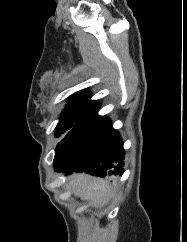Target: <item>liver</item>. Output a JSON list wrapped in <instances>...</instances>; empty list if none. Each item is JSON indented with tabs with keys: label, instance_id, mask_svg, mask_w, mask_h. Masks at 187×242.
I'll return each instance as SVG.
<instances>
[{
	"label": "liver",
	"instance_id": "1",
	"mask_svg": "<svg viewBox=\"0 0 187 242\" xmlns=\"http://www.w3.org/2000/svg\"><path fill=\"white\" fill-rule=\"evenodd\" d=\"M69 187L76 197L93 202L96 208L105 205L111 196V187L107 181L84 173L72 175Z\"/></svg>",
	"mask_w": 187,
	"mask_h": 242
}]
</instances>
